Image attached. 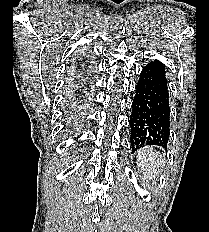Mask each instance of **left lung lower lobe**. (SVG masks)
Wrapping results in <instances>:
<instances>
[{
	"label": "left lung lower lobe",
	"instance_id": "obj_1",
	"mask_svg": "<svg viewBox=\"0 0 209 232\" xmlns=\"http://www.w3.org/2000/svg\"><path fill=\"white\" fill-rule=\"evenodd\" d=\"M132 150L144 145L167 147L170 107L165 67L159 60L148 63L140 74L129 120Z\"/></svg>",
	"mask_w": 209,
	"mask_h": 232
}]
</instances>
